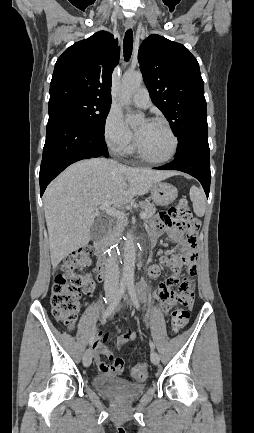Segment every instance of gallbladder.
<instances>
[{"label":"gallbladder","instance_id":"gallbladder-1","mask_svg":"<svg viewBox=\"0 0 254 433\" xmlns=\"http://www.w3.org/2000/svg\"><path fill=\"white\" fill-rule=\"evenodd\" d=\"M108 231V224L103 219H96L90 229V237L93 241L103 239Z\"/></svg>","mask_w":254,"mask_h":433}]
</instances>
